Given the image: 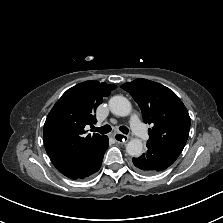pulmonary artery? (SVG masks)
I'll list each match as a JSON object with an SVG mask.
<instances>
[{"mask_svg": "<svg viewBox=\"0 0 223 223\" xmlns=\"http://www.w3.org/2000/svg\"><path fill=\"white\" fill-rule=\"evenodd\" d=\"M130 125L133 132L142 140L147 138V133L136 114L131 116Z\"/></svg>", "mask_w": 223, "mask_h": 223, "instance_id": "1", "label": "pulmonary artery"}]
</instances>
